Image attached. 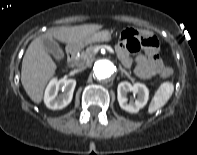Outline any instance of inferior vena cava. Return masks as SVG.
Returning a JSON list of instances; mask_svg holds the SVG:
<instances>
[{
	"mask_svg": "<svg viewBox=\"0 0 197 155\" xmlns=\"http://www.w3.org/2000/svg\"><path fill=\"white\" fill-rule=\"evenodd\" d=\"M85 68L84 64H81L79 69H77V71L83 70Z\"/></svg>",
	"mask_w": 197,
	"mask_h": 155,
	"instance_id": "1",
	"label": "inferior vena cava"
}]
</instances>
